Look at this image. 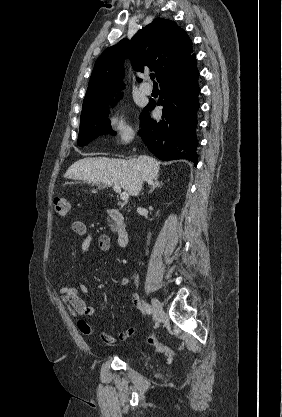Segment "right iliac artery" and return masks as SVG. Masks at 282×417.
Masks as SVG:
<instances>
[{"label":"right iliac artery","instance_id":"right-iliac-artery-1","mask_svg":"<svg viewBox=\"0 0 282 417\" xmlns=\"http://www.w3.org/2000/svg\"><path fill=\"white\" fill-rule=\"evenodd\" d=\"M138 306H139V308L141 309V310H144L147 314H152V312H153V310H152V308H151V306L149 305V304H147V303H145V302H140L139 304H138Z\"/></svg>","mask_w":282,"mask_h":417}]
</instances>
